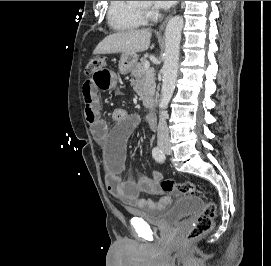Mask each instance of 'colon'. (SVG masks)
Returning a JSON list of instances; mask_svg holds the SVG:
<instances>
[{
  "mask_svg": "<svg viewBox=\"0 0 271 266\" xmlns=\"http://www.w3.org/2000/svg\"><path fill=\"white\" fill-rule=\"evenodd\" d=\"M108 64V59L102 56L94 57L87 66L88 73ZM160 189L176 196L192 195L198 192L197 186L193 182L177 183L171 179H164L159 184ZM216 213V205L213 201H208L195 223L186 231L185 240H196L213 227V221Z\"/></svg>",
  "mask_w": 271,
  "mask_h": 266,
  "instance_id": "1",
  "label": "colon"
}]
</instances>
